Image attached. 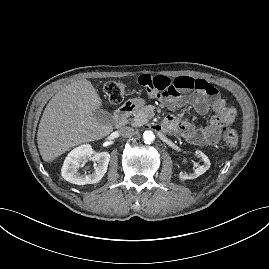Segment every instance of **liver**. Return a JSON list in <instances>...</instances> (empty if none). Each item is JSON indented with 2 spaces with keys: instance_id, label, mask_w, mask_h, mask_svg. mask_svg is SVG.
Wrapping results in <instances>:
<instances>
[{
  "instance_id": "obj_1",
  "label": "liver",
  "mask_w": 269,
  "mask_h": 269,
  "mask_svg": "<svg viewBox=\"0 0 269 269\" xmlns=\"http://www.w3.org/2000/svg\"><path fill=\"white\" fill-rule=\"evenodd\" d=\"M102 101L86 79L62 88L47 104L37 132L42 159L50 162L72 147L102 139L113 131L112 124L98 121L93 112Z\"/></svg>"
}]
</instances>
